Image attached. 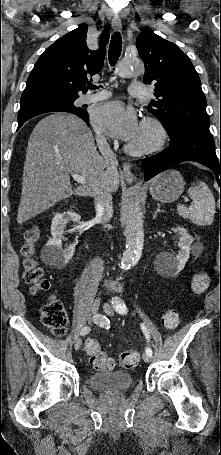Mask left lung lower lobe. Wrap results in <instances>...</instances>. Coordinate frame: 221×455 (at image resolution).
<instances>
[{"label":"left lung lower lobe","instance_id":"left-lung-lower-lobe-1","mask_svg":"<svg viewBox=\"0 0 221 455\" xmlns=\"http://www.w3.org/2000/svg\"><path fill=\"white\" fill-rule=\"evenodd\" d=\"M184 161H195L210 168L221 188V154L215 152L214 140L209 131L188 128L170 139V146L149 158L142 160L147 181L157 174Z\"/></svg>","mask_w":221,"mask_h":455}]
</instances>
